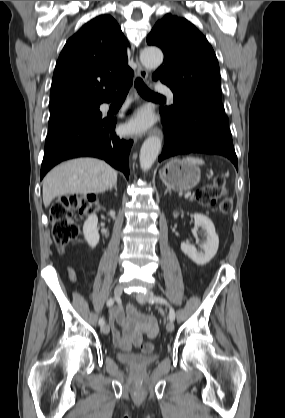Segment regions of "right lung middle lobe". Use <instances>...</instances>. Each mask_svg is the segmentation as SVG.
<instances>
[{
    "label": "right lung middle lobe",
    "instance_id": "obj_1",
    "mask_svg": "<svg viewBox=\"0 0 285 418\" xmlns=\"http://www.w3.org/2000/svg\"><path fill=\"white\" fill-rule=\"evenodd\" d=\"M99 105L89 102H72L49 107V132L74 122L101 119Z\"/></svg>",
    "mask_w": 285,
    "mask_h": 418
}]
</instances>
